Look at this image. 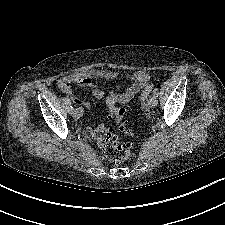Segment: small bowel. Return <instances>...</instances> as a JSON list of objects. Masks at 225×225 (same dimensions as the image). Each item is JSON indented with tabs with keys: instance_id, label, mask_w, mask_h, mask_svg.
Wrapping results in <instances>:
<instances>
[{
	"instance_id": "1",
	"label": "small bowel",
	"mask_w": 225,
	"mask_h": 225,
	"mask_svg": "<svg viewBox=\"0 0 225 225\" xmlns=\"http://www.w3.org/2000/svg\"><path fill=\"white\" fill-rule=\"evenodd\" d=\"M119 73L110 69H93L87 72L71 73L60 77L56 84L57 87L66 94H71V85L77 84L83 88L89 89L96 99H102L104 96L103 90L95 83V79L112 80L116 79ZM131 84L125 90L110 91L106 97V105L108 109L112 106L129 103L140 90L147 85L149 75L144 70H138L127 75ZM73 102L80 107V113L84 109H88L87 102L79 99L75 95H71ZM88 134H92L90 129H87Z\"/></svg>"
}]
</instances>
